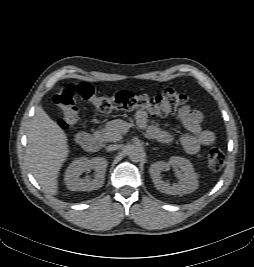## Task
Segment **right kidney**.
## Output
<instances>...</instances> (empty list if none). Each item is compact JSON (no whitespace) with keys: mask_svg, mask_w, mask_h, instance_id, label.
Masks as SVG:
<instances>
[{"mask_svg":"<svg viewBox=\"0 0 254 267\" xmlns=\"http://www.w3.org/2000/svg\"><path fill=\"white\" fill-rule=\"evenodd\" d=\"M108 162L103 157L88 159L81 157L74 160L65 172V183L71 191H91L103 186ZM94 170V178L83 179L80 175Z\"/></svg>","mask_w":254,"mask_h":267,"instance_id":"ca27d5eb","label":"right kidney"}]
</instances>
